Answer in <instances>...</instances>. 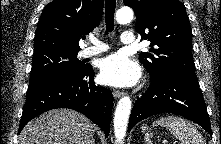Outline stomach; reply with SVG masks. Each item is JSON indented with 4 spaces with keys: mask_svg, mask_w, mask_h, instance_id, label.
I'll return each mask as SVG.
<instances>
[{
    "mask_svg": "<svg viewBox=\"0 0 221 144\" xmlns=\"http://www.w3.org/2000/svg\"><path fill=\"white\" fill-rule=\"evenodd\" d=\"M142 131L147 132V134L150 132L147 126H142Z\"/></svg>",
    "mask_w": 221,
    "mask_h": 144,
    "instance_id": "stomach-1",
    "label": "stomach"
}]
</instances>
